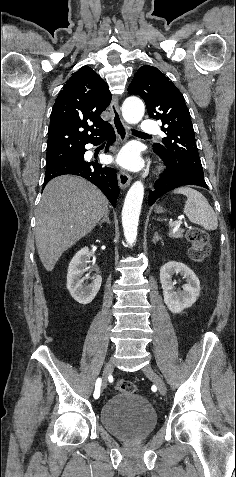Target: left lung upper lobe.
Returning <instances> with one entry per match:
<instances>
[{
	"label": "left lung upper lobe",
	"instance_id": "left-lung-upper-lobe-1",
	"mask_svg": "<svg viewBox=\"0 0 236 477\" xmlns=\"http://www.w3.org/2000/svg\"><path fill=\"white\" fill-rule=\"evenodd\" d=\"M128 92L140 95L149 116L162 122L166 137L163 144L153 145V151L184 173L204 179L190 113L173 82L156 67L145 65L137 71Z\"/></svg>",
	"mask_w": 236,
	"mask_h": 477
}]
</instances>
